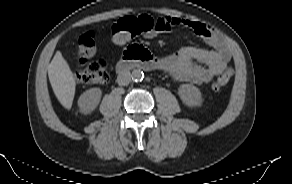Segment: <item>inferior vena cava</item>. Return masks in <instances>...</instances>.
Listing matches in <instances>:
<instances>
[{
	"label": "inferior vena cava",
	"instance_id": "obj_1",
	"mask_svg": "<svg viewBox=\"0 0 292 184\" xmlns=\"http://www.w3.org/2000/svg\"><path fill=\"white\" fill-rule=\"evenodd\" d=\"M131 81V73L129 71H123L119 73L117 77V83L121 86L128 85Z\"/></svg>",
	"mask_w": 292,
	"mask_h": 184
}]
</instances>
